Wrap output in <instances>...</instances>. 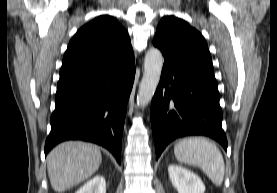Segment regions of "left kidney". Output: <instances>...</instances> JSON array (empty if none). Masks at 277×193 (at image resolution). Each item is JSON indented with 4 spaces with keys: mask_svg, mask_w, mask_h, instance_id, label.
Returning a JSON list of instances; mask_svg holds the SVG:
<instances>
[{
    "mask_svg": "<svg viewBox=\"0 0 277 193\" xmlns=\"http://www.w3.org/2000/svg\"><path fill=\"white\" fill-rule=\"evenodd\" d=\"M168 173L172 185L178 193H204L205 185L202 180L190 170L177 165L170 164Z\"/></svg>",
    "mask_w": 277,
    "mask_h": 193,
    "instance_id": "obj_1",
    "label": "left kidney"
}]
</instances>
